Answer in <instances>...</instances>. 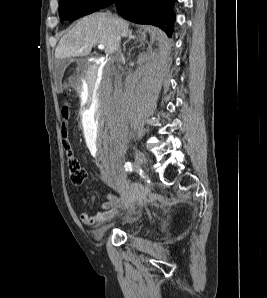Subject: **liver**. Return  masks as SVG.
<instances>
[{
	"instance_id": "6515ba94",
	"label": "liver",
	"mask_w": 267,
	"mask_h": 298,
	"mask_svg": "<svg viewBox=\"0 0 267 298\" xmlns=\"http://www.w3.org/2000/svg\"><path fill=\"white\" fill-rule=\"evenodd\" d=\"M131 31L129 23L107 12H97L83 17L59 41L55 58L87 56L97 44L104 45V51L111 55L119 49L121 37Z\"/></svg>"
}]
</instances>
